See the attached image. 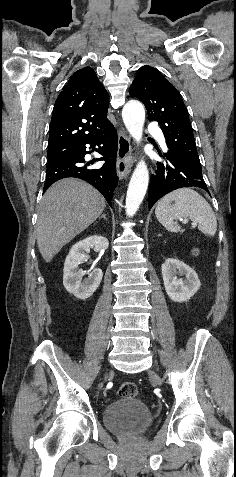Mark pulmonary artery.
<instances>
[{
  "label": "pulmonary artery",
  "mask_w": 236,
  "mask_h": 477,
  "mask_svg": "<svg viewBox=\"0 0 236 477\" xmlns=\"http://www.w3.org/2000/svg\"><path fill=\"white\" fill-rule=\"evenodd\" d=\"M148 132L155 134L156 137H157L162 143H164V138H163V136H162L161 134H159V132L157 131L156 127H154V126L148 127Z\"/></svg>",
  "instance_id": "1"
}]
</instances>
